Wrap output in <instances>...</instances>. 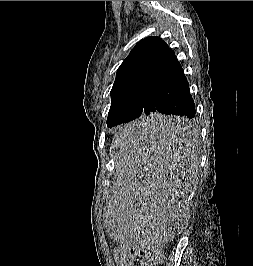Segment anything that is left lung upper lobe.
Wrapping results in <instances>:
<instances>
[{"instance_id":"5c2ea615","label":"left lung upper lobe","mask_w":253,"mask_h":266,"mask_svg":"<svg viewBox=\"0 0 253 266\" xmlns=\"http://www.w3.org/2000/svg\"><path fill=\"white\" fill-rule=\"evenodd\" d=\"M168 45L159 37L139 41L117 70L111 90L107 126L140 118L150 82L167 53ZM138 121V122H139Z\"/></svg>"}]
</instances>
